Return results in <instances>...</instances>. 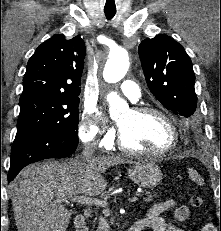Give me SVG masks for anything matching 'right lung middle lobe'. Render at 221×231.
<instances>
[{
    "label": "right lung middle lobe",
    "instance_id": "1",
    "mask_svg": "<svg viewBox=\"0 0 221 231\" xmlns=\"http://www.w3.org/2000/svg\"><path fill=\"white\" fill-rule=\"evenodd\" d=\"M79 98L33 96L20 99L14 142L35 131H59L77 135Z\"/></svg>",
    "mask_w": 221,
    "mask_h": 231
}]
</instances>
